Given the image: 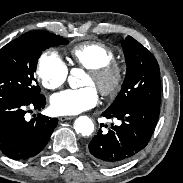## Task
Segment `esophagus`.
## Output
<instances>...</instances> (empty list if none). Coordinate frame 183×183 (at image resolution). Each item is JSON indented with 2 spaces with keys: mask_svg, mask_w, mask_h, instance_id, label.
Segmentation results:
<instances>
[{
  "mask_svg": "<svg viewBox=\"0 0 183 183\" xmlns=\"http://www.w3.org/2000/svg\"><path fill=\"white\" fill-rule=\"evenodd\" d=\"M74 117L73 116H61L59 117V121L64 122L67 120H72Z\"/></svg>",
  "mask_w": 183,
  "mask_h": 183,
  "instance_id": "obj_1",
  "label": "esophagus"
}]
</instances>
